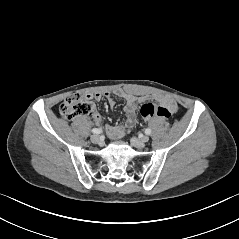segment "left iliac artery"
Here are the masks:
<instances>
[{
    "mask_svg": "<svg viewBox=\"0 0 239 239\" xmlns=\"http://www.w3.org/2000/svg\"><path fill=\"white\" fill-rule=\"evenodd\" d=\"M145 133H146L147 135L151 134V129L147 128V129L145 130Z\"/></svg>",
    "mask_w": 239,
    "mask_h": 239,
    "instance_id": "1",
    "label": "left iliac artery"
}]
</instances>
